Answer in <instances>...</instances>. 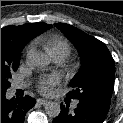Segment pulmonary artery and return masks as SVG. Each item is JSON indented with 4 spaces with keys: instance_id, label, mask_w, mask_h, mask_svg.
Returning <instances> with one entry per match:
<instances>
[{
    "instance_id": "pulmonary-artery-1",
    "label": "pulmonary artery",
    "mask_w": 123,
    "mask_h": 123,
    "mask_svg": "<svg viewBox=\"0 0 123 123\" xmlns=\"http://www.w3.org/2000/svg\"><path fill=\"white\" fill-rule=\"evenodd\" d=\"M65 58H66V56L65 55H62V54L53 56V59L55 60V62H58V63L63 62L65 60ZM23 86L24 85H22V84H16V85H14L13 88L14 89H19V88H22ZM77 104H78V102L75 101L73 103V108H75L77 106Z\"/></svg>"
}]
</instances>
